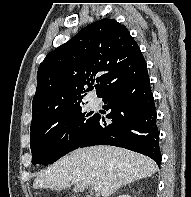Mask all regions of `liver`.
Returning <instances> with one entry per match:
<instances>
[{
  "label": "liver",
  "instance_id": "6515ba94",
  "mask_svg": "<svg viewBox=\"0 0 191 197\" xmlns=\"http://www.w3.org/2000/svg\"><path fill=\"white\" fill-rule=\"evenodd\" d=\"M156 171V163L142 154L115 146H92L76 149L41 171L33 188L66 190L72 182L73 192H82L101 184V195L109 197L120 187Z\"/></svg>",
  "mask_w": 191,
  "mask_h": 197
}]
</instances>
